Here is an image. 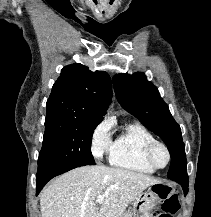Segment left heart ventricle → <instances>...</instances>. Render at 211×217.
Wrapping results in <instances>:
<instances>
[{
	"instance_id": "b2bd125f",
	"label": "left heart ventricle",
	"mask_w": 211,
	"mask_h": 217,
	"mask_svg": "<svg viewBox=\"0 0 211 217\" xmlns=\"http://www.w3.org/2000/svg\"><path fill=\"white\" fill-rule=\"evenodd\" d=\"M154 159L159 166H163L167 160L165 151L162 148H157L154 153Z\"/></svg>"
}]
</instances>
